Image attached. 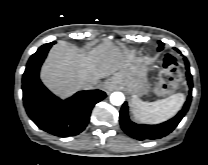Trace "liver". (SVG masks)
<instances>
[{"label": "liver", "mask_w": 208, "mask_h": 165, "mask_svg": "<svg viewBox=\"0 0 208 165\" xmlns=\"http://www.w3.org/2000/svg\"><path fill=\"white\" fill-rule=\"evenodd\" d=\"M123 63L119 48L111 42L85 51L61 41L50 50L40 76L52 92L67 97L91 81L100 83L102 78L118 75Z\"/></svg>", "instance_id": "1"}]
</instances>
